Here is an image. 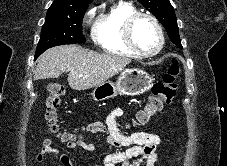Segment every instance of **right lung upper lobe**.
<instances>
[{
    "instance_id": "right-lung-upper-lobe-1",
    "label": "right lung upper lobe",
    "mask_w": 227,
    "mask_h": 166,
    "mask_svg": "<svg viewBox=\"0 0 227 166\" xmlns=\"http://www.w3.org/2000/svg\"><path fill=\"white\" fill-rule=\"evenodd\" d=\"M93 0H54L48 12H70L87 9Z\"/></svg>"
}]
</instances>
